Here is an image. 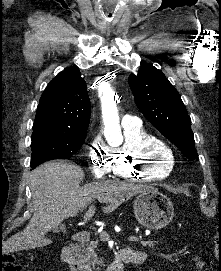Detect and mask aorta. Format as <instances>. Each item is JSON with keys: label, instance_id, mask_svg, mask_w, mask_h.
I'll use <instances>...</instances> for the list:
<instances>
[{"label": "aorta", "instance_id": "762f6f07", "mask_svg": "<svg viewBox=\"0 0 221 271\" xmlns=\"http://www.w3.org/2000/svg\"><path fill=\"white\" fill-rule=\"evenodd\" d=\"M103 118L107 124L120 131L117 107L112 93H108L103 100Z\"/></svg>", "mask_w": 221, "mask_h": 271}]
</instances>
